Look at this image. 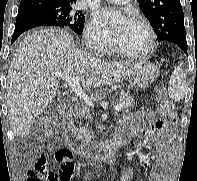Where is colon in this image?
I'll list each match as a JSON object with an SVG mask.
<instances>
[{"mask_svg": "<svg viewBox=\"0 0 197 181\" xmlns=\"http://www.w3.org/2000/svg\"><path fill=\"white\" fill-rule=\"evenodd\" d=\"M157 110L159 114L172 123L176 120L174 104L169 100L163 90L158 92ZM55 127V121L50 117H45L35 128V134L39 137L49 135ZM33 168L28 181H69L74 172L73 154L68 149H60L55 154V159L59 164L57 172L49 171L46 168V158L42 153L34 152L31 154Z\"/></svg>", "mask_w": 197, "mask_h": 181, "instance_id": "obj_1", "label": "colon"}]
</instances>
